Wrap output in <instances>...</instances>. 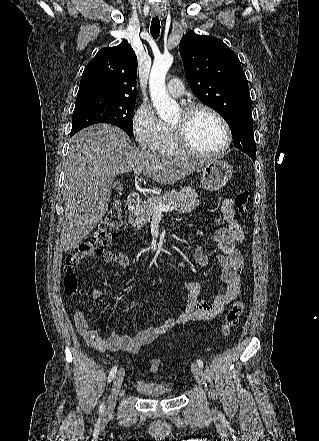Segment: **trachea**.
<instances>
[{
	"instance_id": "3493384b",
	"label": "trachea",
	"mask_w": 319,
	"mask_h": 441,
	"mask_svg": "<svg viewBox=\"0 0 319 441\" xmlns=\"http://www.w3.org/2000/svg\"><path fill=\"white\" fill-rule=\"evenodd\" d=\"M150 33L154 39H157L160 34V20L158 16L152 18L151 26H150Z\"/></svg>"
}]
</instances>
